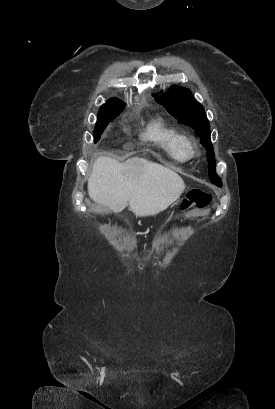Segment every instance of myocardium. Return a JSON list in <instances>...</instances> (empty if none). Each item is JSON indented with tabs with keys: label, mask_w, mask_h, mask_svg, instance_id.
I'll list each match as a JSON object with an SVG mask.
<instances>
[{
	"label": "myocardium",
	"mask_w": 275,
	"mask_h": 409,
	"mask_svg": "<svg viewBox=\"0 0 275 409\" xmlns=\"http://www.w3.org/2000/svg\"><path fill=\"white\" fill-rule=\"evenodd\" d=\"M196 152L195 144L191 140H186L182 146V156L183 157H192Z\"/></svg>",
	"instance_id": "1"
}]
</instances>
